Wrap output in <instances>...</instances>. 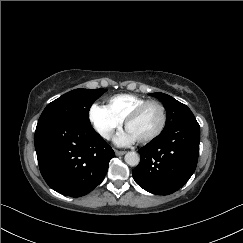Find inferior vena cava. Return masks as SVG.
I'll use <instances>...</instances> for the list:
<instances>
[{"label":"inferior vena cava","mask_w":243,"mask_h":243,"mask_svg":"<svg viewBox=\"0 0 243 243\" xmlns=\"http://www.w3.org/2000/svg\"><path fill=\"white\" fill-rule=\"evenodd\" d=\"M111 135H112L111 132H105V133H104V137H105L106 139H109V138L111 137Z\"/></svg>","instance_id":"obj_1"}]
</instances>
